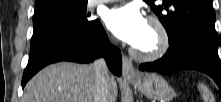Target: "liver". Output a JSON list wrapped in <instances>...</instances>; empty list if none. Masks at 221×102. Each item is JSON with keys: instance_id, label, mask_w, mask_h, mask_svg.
<instances>
[{"instance_id": "obj_1", "label": "liver", "mask_w": 221, "mask_h": 102, "mask_svg": "<svg viewBox=\"0 0 221 102\" xmlns=\"http://www.w3.org/2000/svg\"><path fill=\"white\" fill-rule=\"evenodd\" d=\"M95 73L92 65L71 62L51 64L25 86L22 102H94ZM117 83L110 76L108 102H116Z\"/></svg>"}]
</instances>
